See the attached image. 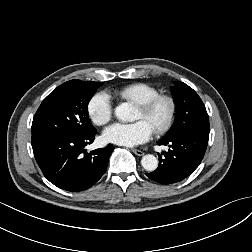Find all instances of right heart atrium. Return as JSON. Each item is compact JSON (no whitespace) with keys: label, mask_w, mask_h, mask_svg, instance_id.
<instances>
[{"label":"right heart atrium","mask_w":252,"mask_h":252,"mask_svg":"<svg viewBox=\"0 0 252 252\" xmlns=\"http://www.w3.org/2000/svg\"><path fill=\"white\" fill-rule=\"evenodd\" d=\"M87 114L95 125L107 124L113 116L110 97L104 92L94 94L87 103Z\"/></svg>","instance_id":"obj_1"}]
</instances>
